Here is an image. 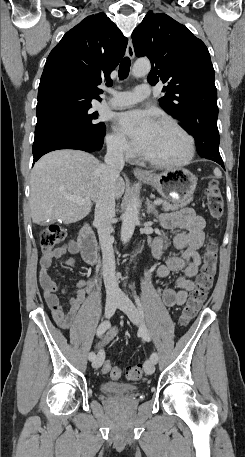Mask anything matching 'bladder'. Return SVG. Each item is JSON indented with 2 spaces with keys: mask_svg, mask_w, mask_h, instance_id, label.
Listing matches in <instances>:
<instances>
[{
  "mask_svg": "<svg viewBox=\"0 0 245 457\" xmlns=\"http://www.w3.org/2000/svg\"><path fill=\"white\" fill-rule=\"evenodd\" d=\"M136 389V387L121 382H105L100 385V390L104 395H128Z\"/></svg>",
  "mask_w": 245,
  "mask_h": 457,
  "instance_id": "1",
  "label": "bladder"
}]
</instances>
